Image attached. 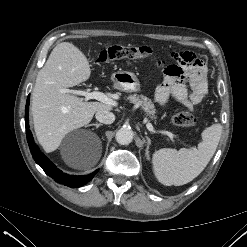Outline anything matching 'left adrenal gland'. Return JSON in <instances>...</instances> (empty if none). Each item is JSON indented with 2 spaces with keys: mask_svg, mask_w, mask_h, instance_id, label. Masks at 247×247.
<instances>
[{
  "mask_svg": "<svg viewBox=\"0 0 247 247\" xmlns=\"http://www.w3.org/2000/svg\"><path fill=\"white\" fill-rule=\"evenodd\" d=\"M145 134H146V140H147V147H146V150H145V155H146L147 159H149V149H150V146H151V140L147 136V133H145Z\"/></svg>",
  "mask_w": 247,
  "mask_h": 247,
  "instance_id": "a2214340",
  "label": "left adrenal gland"
}]
</instances>
